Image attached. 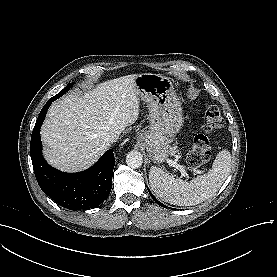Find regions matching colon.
<instances>
[{
    "mask_svg": "<svg viewBox=\"0 0 277 277\" xmlns=\"http://www.w3.org/2000/svg\"><path fill=\"white\" fill-rule=\"evenodd\" d=\"M223 125L224 120L218 106L215 104L208 105L205 112L204 124L200 132L195 136L187 155V162L190 167L198 168L209 161L211 140Z\"/></svg>",
    "mask_w": 277,
    "mask_h": 277,
    "instance_id": "5ec220e1",
    "label": "colon"
}]
</instances>
